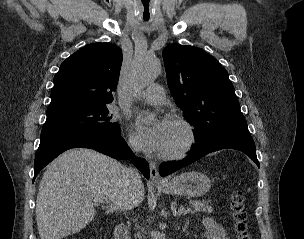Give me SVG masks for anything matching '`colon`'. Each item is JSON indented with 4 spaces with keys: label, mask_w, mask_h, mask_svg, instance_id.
<instances>
[{
    "label": "colon",
    "mask_w": 304,
    "mask_h": 239,
    "mask_svg": "<svg viewBox=\"0 0 304 239\" xmlns=\"http://www.w3.org/2000/svg\"><path fill=\"white\" fill-rule=\"evenodd\" d=\"M230 209L234 220L237 239H252L246 221L245 195L241 190H235L231 194Z\"/></svg>",
    "instance_id": "obj_1"
}]
</instances>
